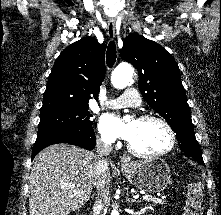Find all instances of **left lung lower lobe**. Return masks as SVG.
I'll list each match as a JSON object with an SVG mask.
<instances>
[{
	"label": "left lung lower lobe",
	"mask_w": 221,
	"mask_h": 215,
	"mask_svg": "<svg viewBox=\"0 0 221 215\" xmlns=\"http://www.w3.org/2000/svg\"><path fill=\"white\" fill-rule=\"evenodd\" d=\"M183 154H184L186 157H192V158H194L196 161H198L199 163H201V164L204 165L203 158H202V154H201V155H191V154L184 153V152H183Z\"/></svg>",
	"instance_id": "obj_1"
}]
</instances>
